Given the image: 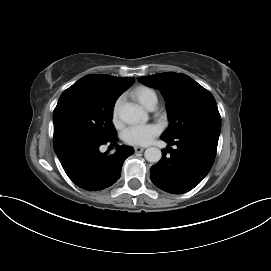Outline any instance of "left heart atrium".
Returning a JSON list of instances; mask_svg holds the SVG:
<instances>
[{"mask_svg":"<svg viewBox=\"0 0 271 271\" xmlns=\"http://www.w3.org/2000/svg\"><path fill=\"white\" fill-rule=\"evenodd\" d=\"M160 133V127L154 124L131 125L123 132V139L130 145L145 146L150 144Z\"/></svg>","mask_w":271,"mask_h":271,"instance_id":"1","label":"left heart atrium"}]
</instances>
